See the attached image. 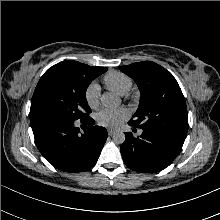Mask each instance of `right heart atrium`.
<instances>
[{
    "instance_id": "right-heart-atrium-1",
    "label": "right heart atrium",
    "mask_w": 220,
    "mask_h": 220,
    "mask_svg": "<svg viewBox=\"0 0 220 220\" xmlns=\"http://www.w3.org/2000/svg\"><path fill=\"white\" fill-rule=\"evenodd\" d=\"M85 100L91 109H96L100 103V87L97 83L89 84L85 91Z\"/></svg>"
}]
</instances>
